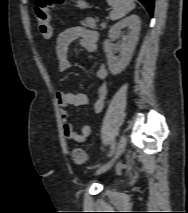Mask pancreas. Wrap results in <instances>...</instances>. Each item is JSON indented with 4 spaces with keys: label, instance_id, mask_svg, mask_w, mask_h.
Wrapping results in <instances>:
<instances>
[{
    "label": "pancreas",
    "instance_id": "pancreas-1",
    "mask_svg": "<svg viewBox=\"0 0 188 213\" xmlns=\"http://www.w3.org/2000/svg\"><path fill=\"white\" fill-rule=\"evenodd\" d=\"M80 23L82 26L96 29V21L93 18H90V17L86 18V19L82 20Z\"/></svg>",
    "mask_w": 188,
    "mask_h": 213
}]
</instances>
